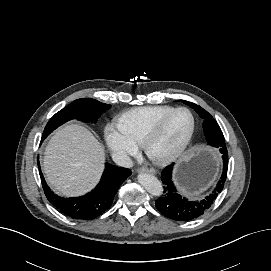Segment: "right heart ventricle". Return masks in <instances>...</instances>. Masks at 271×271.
Wrapping results in <instances>:
<instances>
[{
    "mask_svg": "<svg viewBox=\"0 0 271 271\" xmlns=\"http://www.w3.org/2000/svg\"><path fill=\"white\" fill-rule=\"evenodd\" d=\"M174 107L168 105L143 106L124 112L118 119L121 131L136 144H141L152 127Z\"/></svg>",
    "mask_w": 271,
    "mask_h": 271,
    "instance_id": "right-heart-ventricle-1",
    "label": "right heart ventricle"
}]
</instances>
